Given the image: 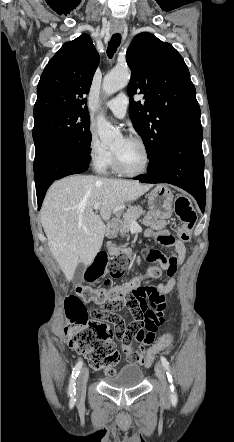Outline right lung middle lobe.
I'll use <instances>...</instances> for the list:
<instances>
[{"label": "right lung middle lobe", "mask_w": 234, "mask_h": 442, "mask_svg": "<svg viewBox=\"0 0 234 442\" xmlns=\"http://www.w3.org/2000/svg\"><path fill=\"white\" fill-rule=\"evenodd\" d=\"M33 140L57 139L90 153L88 110H57L34 116Z\"/></svg>", "instance_id": "1"}]
</instances>
